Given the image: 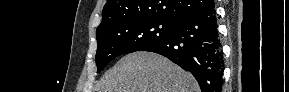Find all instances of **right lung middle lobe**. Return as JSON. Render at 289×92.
Segmentation results:
<instances>
[{"label":"right lung middle lobe","mask_w":289,"mask_h":92,"mask_svg":"<svg viewBox=\"0 0 289 92\" xmlns=\"http://www.w3.org/2000/svg\"><path fill=\"white\" fill-rule=\"evenodd\" d=\"M175 25L174 21L143 18L121 21L97 31V71H102L119 55L140 51L148 45L168 39Z\"/></svg>","instance_id":"dd1d6c3e"}]
</instances>
